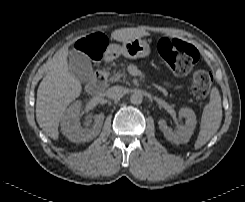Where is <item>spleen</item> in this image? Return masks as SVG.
Here are the masks:
<instances>
[{"instance_id":"obj_1","label":"spleen","mask_w":245,"mask_h":202,"mask_svg":"<svg viewBox=\"0 0 245 202\" xmlns=\"http://www.w3.org/2000/svg\"><path fill=\"white\" fill-rule=\"evenodd\" d=\"M222 120L221 96L217 88H212L210 101L205 105L200 124V132L195 149L201 148L217 132Z\"/></svg>"}]
</instances>
